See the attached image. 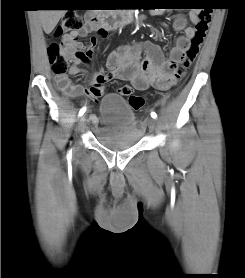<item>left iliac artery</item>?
Returning a JSON list of instances; mask_svg holds the SVG:
<instances>
[{"label": "left iliac artery", "instance_id": "obj_1", "mask_svg": "<svg viewBox=\"0 0 245 278\" xmlns=\"http://www.w3.org/2000/svg\"><path fill=\"white\" fill-rule=\"evenodd\" d=\"M151 117L155 119L157 117V114L155 112H151Z\"/></svg>", "mask_w": 245, "mask_h": 278}]
</instances>
